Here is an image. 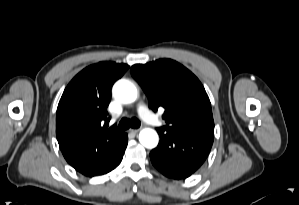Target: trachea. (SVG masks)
Masks as SVG:
<instances>
[{"label": "trachea", "mask_w": 299, "mask_h": 205, "mask_svg": "<svg viewBox=\"0 0 299 205\" xmlns=\"http://www.w3.org/2000/svg\"><path fill=\"white\" fill-rule=\"evenodd\" d=\"M141 125L140 121L137 118H122L119 122L118 129L124 131L131 128H139Z\"/></svg>", "instance_id": "trachea-1"}]
</instances>
